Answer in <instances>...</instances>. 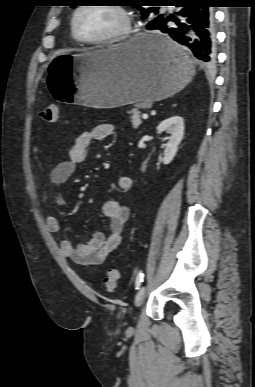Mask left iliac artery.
<instances>
[{"label":"left iliac artery","instance_id":"1","mask_svg":"<svg viewBox=\"0 0 255 387\" xmlns=\"http://www.w3.org/2000/svg\"><path fill=\"white\" fill-rule=\"evenodd\" d=\"M143 277H144V274L142 271H140L136 277V281H135V287L136 289L138 290L143 282Z\"/></svg>","mask_w":255,"mask_h":387}]
</instances>
